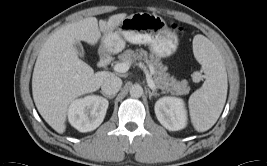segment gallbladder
Here are the masks:
<instances>
[{
    "label": "gallbladder",
    "instance_id": "1",
    "mask_svg": "<svg viewBox=\"0 0 267 166\" xmlns=\"http://www.w3.org/2000/svg\"><path fill=\"white\" fill-rule=\"evenodd\" d=\"M74 48L76 49L77 53H78L81 57H83V55H84V49H83V46L81 45V43H80V42H76V43L74 44Z\"/></svg>",
    "mask_w": 267,
    "mask_h": 166
}]
</instances>
